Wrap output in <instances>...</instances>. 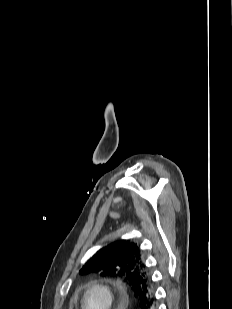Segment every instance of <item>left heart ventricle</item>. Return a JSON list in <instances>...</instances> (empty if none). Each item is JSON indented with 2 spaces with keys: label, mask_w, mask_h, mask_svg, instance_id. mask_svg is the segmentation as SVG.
Instances as JSON below:
<instances>
[{
  "label": "left heart ventricle",
  "mask_w": 232,
  "mask_h": 309,
  "mask_svg": "<svg viewBox=\"0 0 232 309\" xmlns=\"http://www.w3.org/2000/svg\"><path fill=\"white\" fill-rule=\"evenodd\" d=\"M107 299L98 290L91 291L86 297V309H104Z\"/></svg>",
  "instance_id": "b2bd125f"
}]
</instances>
